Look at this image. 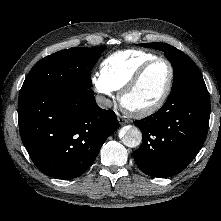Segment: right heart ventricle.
<instances>
[{
	"instance_id": "obj_1",
	"label": "right heart ventricle",
	"mask_w": 221,
	"mask_h": 221,
	"mask_svg": "<svg viewBox=\"0 0 221 221\" xmlns=\"http://www.w3.org/2000/svg\"><path fill=\"white\" fill-rule=\"evenodd\" d=\"M155 57L144 50L118 51L101 62L100 74L113 90H120L142 64Z\"/></svg>"
}]
</instances>
